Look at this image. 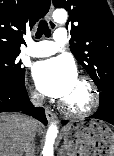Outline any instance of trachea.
<instances>
[{
  "label": "trachea",
  "mask_w": 114,
  "mask_h": 156,
  "mask_svg": "<svg viewBox=\"0 0 114 156\" xmlns=\"http://www.w3.org/2000/svg\"><path fill=\"white\" fill-rule=\"evenodd\" d=\"M42 35H45L46 37L51 36V31H50L48 24L45 20H41L39 22L37 32H36V38L39 39L42 37Z\"/></svg>",
  "instance_id": "obj_1"
}]
</instances>
